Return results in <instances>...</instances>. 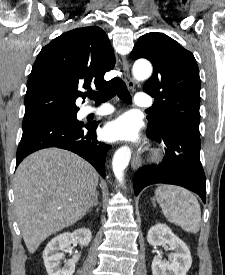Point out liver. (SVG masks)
<instances>
[{"label":"liver","mask_w":225,"mask_h":275,"mask_svg":"<svg viewBox=\"0 0 225 275\" xmlns=\"http://www.w3.org/2000/svg\"><path fill=\"white\" fill-rule=\"evenodd\" d=\"M99 176L78 155L59 148L32 153L14 178L15 208L28 251L79 221L89 210Z\"/></svg>","instance_id":"1"}]
</instances>
